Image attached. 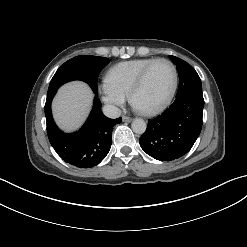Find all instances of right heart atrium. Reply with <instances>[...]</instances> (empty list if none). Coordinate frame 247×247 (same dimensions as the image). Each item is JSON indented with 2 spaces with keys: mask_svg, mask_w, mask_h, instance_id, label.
Instances as JSON below:
<instances>
[{
  "mask_svg": "<svg viewBox=\"0 0 247 247\" xmlns=\"http://www.w3.org/2000/svg\"><path fill=\"white\" fill-rule=\"evenodd\" d=\"M102 100L111 108L117 109L125 103L127 93L119 89L107 78L104 79L99 87Z\"/></svg>",
  "mask_w": 247,
  "mask_h": 247,
  "instance_id": "d8ad5b80",
  "label": "right heart atrium"
}]
</instances>
